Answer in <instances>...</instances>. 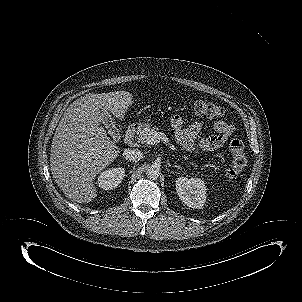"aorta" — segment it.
Returning <instances> with one entry per match:
<instances>
[{"instance_id": "1", "label": "aorta", "mask_w": 302, "mask_h": 302, "mask_svg": "<svg viewBox=\"0 0 302 302\" xmlns=\"http://www.w3.org/2000/svg\"><path fill=\"white\" fill-rule=\"evenodd\" d=\"M146 175L150 179H157L160 176V167L157 165H151L146 170Z\"/></svg>"}]
</instances>
